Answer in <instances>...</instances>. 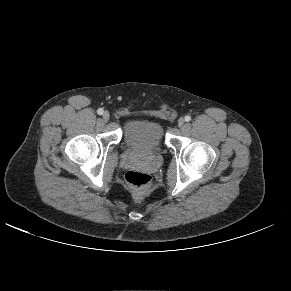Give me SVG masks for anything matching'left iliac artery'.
<instances>
[{
  "label": "left iliac artery",
  "mask_w": 291,
  "mask_h": 291,
  "mask_svg": "<svg viewBox=\"0 0 291 291\" xmlns=\"http://www.w3.org/2000/svg\"><path fill=\"white\" fill-rule=\"evenodd\" d=\"M191 120V117L189 115L185 116V121L189 122Z\"/></svg>",
  "instance_id": "1"
}]
</instances>
